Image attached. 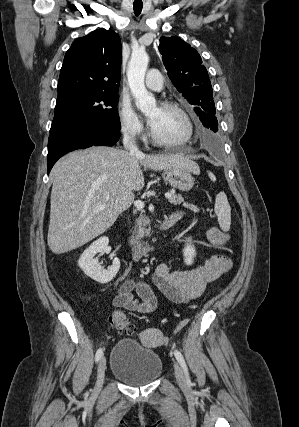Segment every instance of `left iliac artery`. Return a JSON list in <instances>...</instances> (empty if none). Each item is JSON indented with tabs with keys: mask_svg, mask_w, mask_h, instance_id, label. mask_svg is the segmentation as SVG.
Masks as SVG:
<instances>
[{
	"mask_svg": "<svg viewBox=\"0 0 299 427\" xmlns=\"http://www.w3.org/2000/svg\"><path fill=\"white\" fill-rule=\"evenodd\" d=\"M174 355H175L177 361L179 362V364L181 365L187 380H189L188 368H187V365L185 363L183 355L178 350L174 351Z\"/></svg>",
	"mask_w": 299,
	"mask_h": 427,
	"instance_id": "1",
	"label": "left iliac artery"
}]
</instances>
